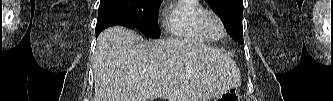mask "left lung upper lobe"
Wrapping results in <instances>:
<instances>
[{"instance_id":"left-lung-upper-lobe-1","label":"left lung upper lobe","mask_w":333,"mask_h":101,"mask_svg":"<svg viewBox=\"0 0 333 101\" xmlns=\"http://www.w3.org/2000/svg\"><path fill=\"white\" fill-rule=\"evenodd\" d=\"M215 11L228 33L238 43H243V1L242 0H206Z\"/></svg>"}]
</instances>
